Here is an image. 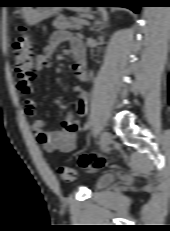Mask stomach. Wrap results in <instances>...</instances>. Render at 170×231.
<instances>
[{
    "instance_id": "1",
    "label": "stomach",
    "mask_w": 170,
    "mask_h": 231,
    "mask_svg": "<svg viewBox=\"0 0 170 231\" xmlns=\"http://www.w3.org/2000/svg\"><path fill=\"white\" fill-rule=\"evenodd\" d=\"M59 1L53 0H29L25 3H35V4H52ZM61 7H22V15L28 25L37 24L45 19L50 18L51 16L57 14L61 11ZM72 10L77 11H88V7H72Z\"/></svg>"
}]
</instances>
